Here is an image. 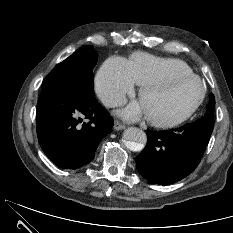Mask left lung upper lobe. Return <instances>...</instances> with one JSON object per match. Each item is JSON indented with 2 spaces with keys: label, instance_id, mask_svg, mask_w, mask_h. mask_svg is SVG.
Returning a JSON list of instances; mask_svg holds the SVG:
<instances>
[{
  "label": "left lung upper lobe",
  "instance_id": "1",
  "mask_svg": "<svg viewBox=\"0 0 233 233\" xmlns=\"http://www.w3.org/2000/svg\"><path fill=\"white\" fill-rule=\"evenodd\" d=\"M214 106H215V99H214V96L211 94L209 104L206 108V114L203 117H201L197 122L213 127L214 126V118H213Z\"/></svg>",
  "mask_w": 233,
  "mask_h": 233
}]
</instances>
